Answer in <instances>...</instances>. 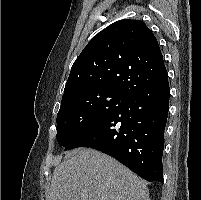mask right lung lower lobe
<instances>
[{
	"mask_svg": "<svg viewBox=\"0 0 201 200\" xmlns=\"http://www.w3.org/2000/svg\"><path fill=\"white\" fill-rule=\"evenodd\" d=\"M167 74L124 102L65 147H90L116 158L141 178L163 182L164 130L169 111Z\"/></svg>",
	"mask_w": 201,
	"mask_h": 200,
	"instance_id": "98d812e1",
	"label": "right lung lower lobe"
}]
</instances>
